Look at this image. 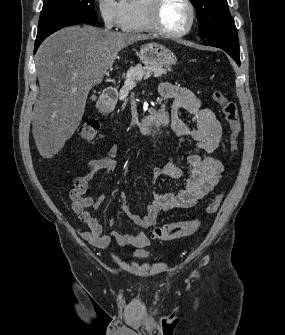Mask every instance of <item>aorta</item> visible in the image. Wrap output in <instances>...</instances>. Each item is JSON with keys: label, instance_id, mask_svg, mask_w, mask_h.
<instances>
[{"label": "aorta", "instance_id": "762f6f07", "mask_svg": "<svg viewBox=\"0 0 285 335\" xmlns=\"http://www.w3.org/2000/svg\"><path fill=\"white\" fill-rule=\"evenodd\" d=\"M146 134H165V127H146Z\"/></svg>", "mask_w": 285, "mask_h": 335}]
</instances>
